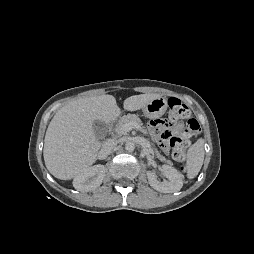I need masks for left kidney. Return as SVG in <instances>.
Wrapping results in <instances>:
<instances>
[{"label": "left kidney", "mask_w": 254, "mask_h": 254, "mask_svg": "<svg viewBox=\"0 0 254 254\" xmlns=\"http://www.w3.org/2000/svg\"><path fill=\"white\" fill-rule=\"evenodd\" d=\"M162 172L168 178V181H158L154 172H147L148 181L152 188L162 193H172L182 188V176L176 168L163 165Z\"/></svg>", "instance_id": "1"}]
</instances>
